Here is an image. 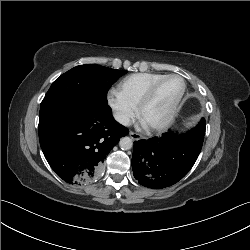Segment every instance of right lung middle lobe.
Returning a JSON list of instances; mask_svg holds the SVG:
<instances>
[{
  "instance_id": "obj_1",
  "label": "right lung middle lobe",
  "mask_w": 250,
  "mask_h": 250,
  "mask_svg": "<svg viewBox=\"0 0 250 250\" xmlns=\"http://www.w3.org/2000/svg\"><path fill=\"white\" fill-rule=\"evenodd\" d=\"M125 70L86 64L72 68L55 80L40 105L39 116L65 102L77 99L107 104V92Z\"/></svg>"
}]
</instances>
